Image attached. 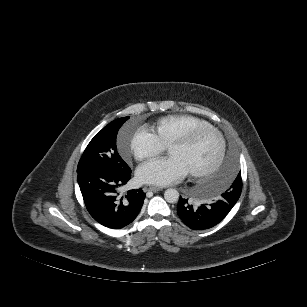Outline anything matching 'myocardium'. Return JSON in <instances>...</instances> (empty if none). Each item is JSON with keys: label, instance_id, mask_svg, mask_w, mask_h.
<instances>
[{"label": "myocardium", "instance_id": "myocardium-1", "mask_svg": "<svg viewBox=\"0 0 307 307\" xmlns=\"http://www.w3.org/2000/svg\"><path fill=\"white\" fill-rule=\"evenodd\" d=\"M205 132H212L213 134H215L218 137V139H219L218 155H217V158H216V160H215V162L212 166H210L206 169L200 170V171H190L189 173L193 177L208 176V175L216 172L220 168V166L222 165L224 158H225V155H226V151H227L226 140H225V137L222 134V132L218 128H216L212 125L197 127V128H194V129L182 134L181 136L177 137L167 146L168 151L174 146H188L191 143H193L201 134H203Z\"/></svg>", "mask_w": 307, "mask_h": 307}]
</instances>
